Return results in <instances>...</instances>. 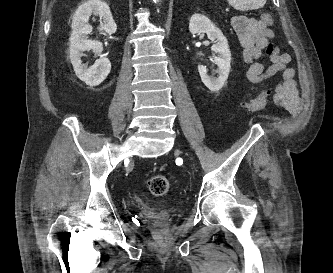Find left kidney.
Instances as JSON below:
<instances>
[{
	"mask_svg": "<svg viewBox=\"0 0 333 273\" xmlns=\"http://www.w3.org/2000/svg\"><path fill=\"white\" fill-rule=\"evenodd\" d=\"M189 31L192 34L206 33L214 43L211 47L212 57L218 66L217 73L219 76L217 78L208 76V70L203 65H198V71L202 82L209 90H220L224 86L231 68V52L226 37L206 16L201 14L192 15L189 22Z\"/></svg>",
	"mask_w": 333,
	"mask_h": 273,
	"instance_id": "1",
	"label": "left kidney"
}]
</instances>
